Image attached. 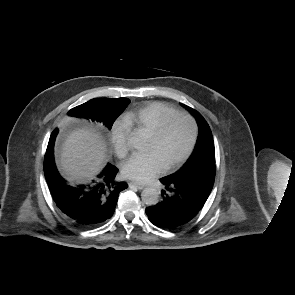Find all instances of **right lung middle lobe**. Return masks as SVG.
<instances>
[{"label":"right lung middle lobe","mask_w":295,"mask_h":295,"mask_svg":"<svg viewBox=\"0 0 295 295\" xmlns=\"http://www.w3.org/2000/svg\"><path fill=\"white\" fill-rule=\"evenodd\" d=\"M130 100L127 98H95L71 109L68 114L74 117L90 119L100 122L111 129L113 122L124 111ZM58 133V132H57ZM53 172H57L53 157L44 160V174L47 179Z\"/></svg>","instance_id":"obj_1"}]
</instances>
